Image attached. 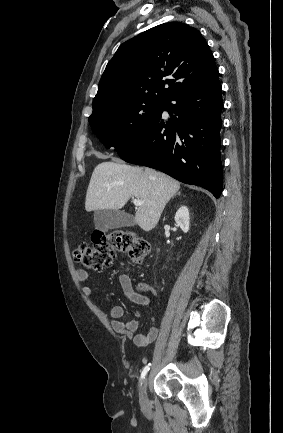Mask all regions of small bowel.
I'll list each match as a JSON object with an SVG mask.
<instances>
[{
	"label": "small bowel",
	"instance_id": "small-bowel-1",
	"mask_svg": "<svg viewBox=\"0 0 283 433\" xmlns=\"http://www.w3.org/2000/svg\"><path fill=\"white\" fill-rule=\"evenodd\" d=\"M77 279L81 282L86 281L89 278V274L85 270H77ZM120 284L125 295L135 304L139 306H149L150 299L134 290L131 280L128 277H122ZM84 295L90 297L93 295V289L90 286H84L82 288ZM125 311L120 305H114L110 310L111 316V327L112 329L122 335L132 338L135 345L144 347L153 342L158 336V329L155 326V318H152V325L146 333H137L140 326L141 314L139 311L135 312V318L130 321H123Z\"/></svg>",
	"mask_w": 283,
	"mask_h": 433
}]
</instances>
